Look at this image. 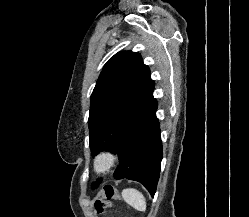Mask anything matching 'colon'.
Listing matches in <instances>:
<instances>
[{"label":"colon","instance_id":"1","mask_svg":"<svg viewBox=\"0 0 249 217\" xmlns=\"http://www.w3.org/2000/svg\"><path fill=\"white\" fill-rule=\"evenodd\" d=\"M121 196L117 189L112 186H106L99 198L94 201V208L98 212L111 207L112 200H120Z\"/></svg>","mask_w":249,"mask_h":217}]
</instances>
